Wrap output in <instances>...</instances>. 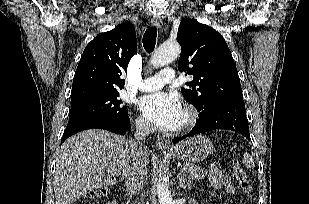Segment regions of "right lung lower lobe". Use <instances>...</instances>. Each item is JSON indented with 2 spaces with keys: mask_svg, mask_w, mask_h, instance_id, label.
I'll list each match as a JSON object with an SVG mask.
<instances>
[{
  "mask_svg": "<svg viewBox=\"0 0 309 204\" xmlns=\"http://www.w3.org/2000/svg\"><path fill=\"white\" fill-rule=\"evenodd\" d=\"M104 129L116 134H125L130 128V120L119 122L104 116H83L70 120L67 124L61 143L71 135L87 129Z\"/></svg>",
  "mask_w": 309,
  "mask_h": 204,
  "instance_id": "right-lung-lower-lobe-1",
  "label": "right lung lower lobe"
}]
</instances>
